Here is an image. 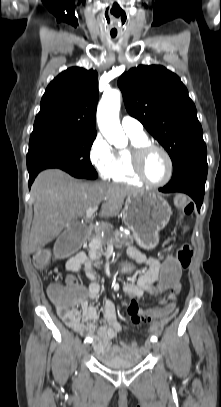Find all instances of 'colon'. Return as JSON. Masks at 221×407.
I'll use <instances>...</instances> for the list:
<instances>
[{"label": "colon", "mask_w": 221, "mask_h": 407, "mask_svg": "<svg viewBox=\"0 0 221 407\" xmlns=\"http://www.w3.org/2000/svg\"><path fill=\"white\" fill-rule=\"evenodd\" d=\"M177 208L185 215H190L193 212V204L185 195H179L175 199ZM91 229L90 222H71L69 230H65L64 234H59L58 241L60 246H55V255H77L78 249H82L84 239L89 238ZM188 228L183 227L186 232ZM193 255V250L189 245H183L178 253L168 252L166 258L161 261V273L158 283L152 286L155 292H173L174 286L180 285V278L183 276V269L189 267ZM48 254L40 253L36 257V268L44 267L48 262ZM48 295L54 303L57 312L65 315L71 312L77 305L76 290L73 286L66 284L51 285L48 289ZM154 297V294H151ZM178 306L177 300H171L170 304L153 305L151 309L143 315L145 322L160 318H169L174 311V307Z\"/></svg>", "instance_id": "colon-1"}]
</instances>
